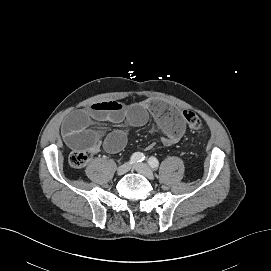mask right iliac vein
Listing matches in <instances>:
<instances>
[{"instance_id": "obj_1", "label": "right iliac vein", "mask_w": 271, "mask_h": 271, "mask_svg": "<svg viewBox=\"0 0 271 271\" xmlns=\"http://www.w3.org/2000/svg\"><path fill=\"white\" fill-rule=\"evenodd\" d=\"M131 169V164L129 163H124L121 166L118 167L117 169V174L118 175H124Z\"/></svg>"}]
</instances>
